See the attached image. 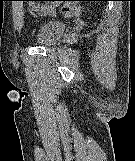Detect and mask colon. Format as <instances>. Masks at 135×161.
I'll return each instance as SVG.
<instances>
[{"label": "colon", "instance_id": "1", "mask_svg": "<svg viewBox=\"0 0 135 161\" xmlns=\"http://www.w3.org/2000/svg\"><path fill=\"white\" fill-rule=\"evenodd\" d=\"M53 1L55 5L62 3L61 12L68 17L77 16L81 13L82 8L74 0H48Z\"/></svg>", "mask_w": 135, "mask_h": 161}]
</instances>
